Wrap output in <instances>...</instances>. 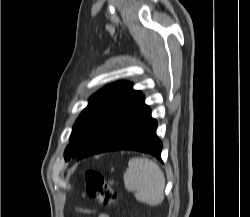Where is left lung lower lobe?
Instances as JSON below:
<instances>
[{
    "label": "left lung lower lobe",
    "instance_id": "0a47b994",
    "mask_svg": "<svg viewBox=\"0 0 250 217\" xmlns=\"http://www.w3.org/2000/svg\"><path fill=\"white\" fill-rule=\"evenodd\" d=\"M156 128L157 122L151 117L143 94L135 91L77 156V160L117 150L141 151L161 160L162 142L155 133Z\"/></svg>",
    "mask_w": 250,
    "mask_h": 217
}]
</instances>
